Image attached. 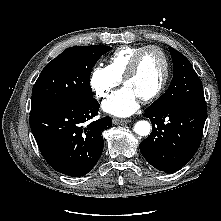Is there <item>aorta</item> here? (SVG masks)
<instances>
[{
    "mask_svg": "<svg viewBox=\"0 0 221 221\" xmlns=\"http://www.w3.org/2000/svg\"><path fill=\"white\" fill-rule=\"evenodd\" d=\"M150 130H151V125L148 121L145 120L138 121L134 125V132L137 133L139 136L149 135Z\"/></svg>",
    "mask_w": 221,
    "mask_h": 221,
    "instance_id": "obj_1",
    "label": "aorta"
}]
</instances>
